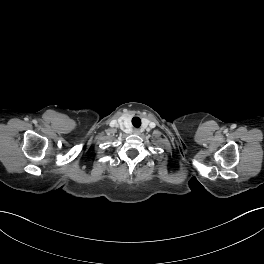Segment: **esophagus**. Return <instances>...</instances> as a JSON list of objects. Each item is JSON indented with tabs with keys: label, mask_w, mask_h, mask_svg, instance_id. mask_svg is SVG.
Masks as SVG:
<instances>
[{
	"label": "esophagus",
	"mask_w": 264,
	"mask_h": 264,
	"mask_svg": "<svg viewBox=\"0 0 264 264\" xmlns=\"http://www.w3.org/2000/svg\"><path fill=\"white\" fill-rule=\"evenodd\" d=\"M133 133H134V134H139L140 131H139L138 129H134V130H133Z\"/></svg>",
	"instance_id": "obj_1"
}]
</instances>
